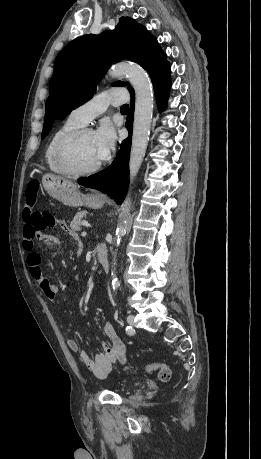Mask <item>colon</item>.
I'll return each mask as SVG.
<instances>
[{"label":"colon","instance_id":"5ec220e1","mask_svg":"<svg viewBox=\"0 0 261 459\" xmlns=\"http://www.w3.org/2000/svg\"><path fill=\"white\" fill-rule=\"evenodd\" d=\"M40 185L37 180H32L28 183L25 191V205L23 214L25 218L19 221L23 227L21 231L22 238H35L36 232H42L48 228L60 225V221L51 213L46 211H33V207L37 201ZM131 367H125L130 369ZM144 370L148 373L158 372L159 379L167 382L171 377L170 368L160 362L149 363Z\"/></svg>","mask_w":261,"mask_h":459}]
</instances>
